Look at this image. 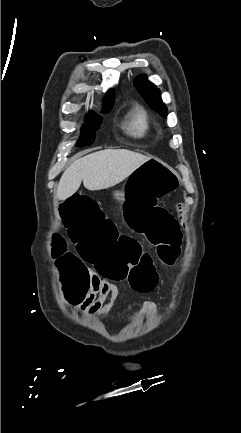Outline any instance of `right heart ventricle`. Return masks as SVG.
Here are the masks:
<instances>
[{
  "label": "right heart ventricle",
  "mask_w": 241,
  "mask_h": 433,
  "mask_svg": "<svg viewBox=\"0 0 241 433\" xmlns=\"http://www.w3.org/2000/svg\"><path fill=\"white\" fill-rule=\"evenodd\" d=\"M128 131L135 137L145 136L150 129V119L143 108L133 109L127 121Z\"/></svg>",
  "instance_id": "obj_1"
}]
</instances>
